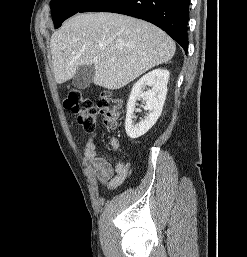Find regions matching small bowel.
Segmentation results:
<instances>
[{"instance_id": "c3829d8e", "label": "small bowel", "mask_w": 247, "mask_h": 257, "mask_svg": "<svg viewBox=\"0 0 247 257\" xmlns=\"http://www.w3.org/2000/svg\"><path fill=\"white\" fill-rule=\"evenodd\" d=\"M96 134L93 133L88 139L84 148V157L90 164L96 178L104 184L108 190H113L120 186L128 174L127 166L118 162L114 167L104 157L99 155L94 142ZM110 147L114 152L119 151L120 143L117 138L110 140Z\"/></svg>"}]
</instances>
